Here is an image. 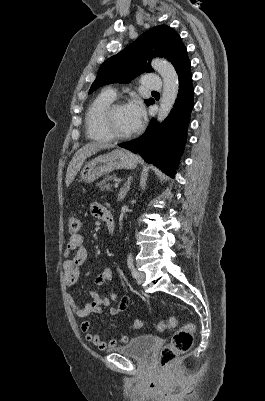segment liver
<instances>
[{"instance_id":"obj_1","label":"liver","mask_w":265,"mask_h":401,"mask_svg":"<svg viewBox=\"0 0 265 401\" xmlns=\"http://www.w3.org/2000/svg\"><path fill=\"white\" fill-rule=\"evenodd\" d=\"M114 144H109V142H87L85 146H81L77 152H75L72 160H70L66 172V186L71 184L74 180L78 170H80L83 162H85L88 156L96 154L101 148H113Z\"/></svg>"}]
</instances>
